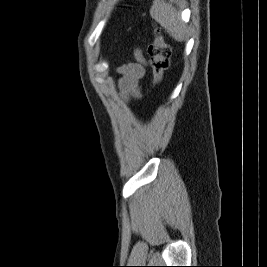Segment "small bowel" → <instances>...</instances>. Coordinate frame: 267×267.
Wrapping results in <instances>:
<instances>
[{
  "instance_id": "obj_1",
  "label": "small bowel",
  "mask_w": 267,
  "mask_h": 267,
  "mask_svg": "<svg viewBox=\"0 0 267 267\" xmlns=\"http://www.w3.org/2000/svg\"><path fill=\"white\" fill-rule=\"evenodd\" d=\"M136 62L123 65L118 68V72L122 75L119 81V87L122 96L125 99L131 97H139L138 81L144 76L146 61L139 49L135 50Z\"/></svg>"
}]
</instances>
